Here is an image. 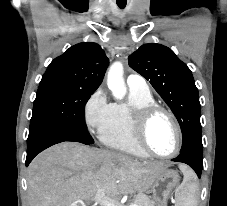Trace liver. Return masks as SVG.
I'll return each instance as SVG.
<instances>
[{
    "mask_svg": "<svg viewBox=\"0 0 227 206\" xmlns=\"http://www.w3.org/2000/svg\"><path fill=\"white\" fill-rule=\"evenodd\" d=\"M168 166L77 142H63L40 153L29 165V206H71L73 202L82 206L81 201L88 202L99 190L112 197L142 192Z\"/></svg>",
    "mask_w": 227,
    "mask_h": 206,
    "instance_id": "liver-1",
    "label": "liver"
}]
</instances>
